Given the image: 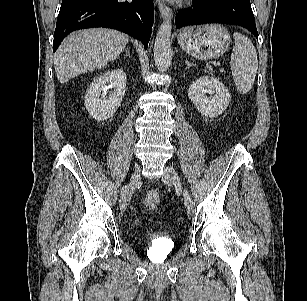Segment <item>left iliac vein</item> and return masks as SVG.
I'll return each instance as SVG.
<instances>
[{"mask_svg": "<svg viewBox=\"0 0 307 301\" xmlns=\"http://www.w3.org/2000/svg\"><path fill=\"white\" fill-rule=\"evenodd\" d=\"M162 180L168 185H173L180 191H183V186L176 170L172 166H165L164 174L162 175ZM184 192L185 207L188 213L194 211L195 205L189 194Z\"/></svg>", "mask_w": 307, "mask_h": 301, "instance_id": "obj_1", "label": "left iliac vein"}]
</instances>
